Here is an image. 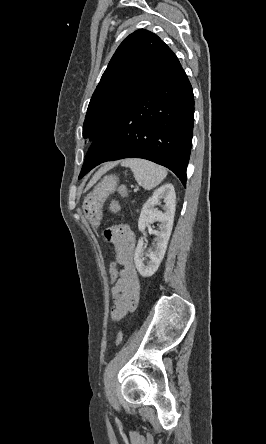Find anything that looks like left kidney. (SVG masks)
<instances>
[{
  "mask_svg": "<svg viewBox=\"0 0 266 444\" xmlns=\"http://www.w3.org/2000/svg\"><path fill=\"white\" fill-rule=\"evenodd\" d=\"M161 199H163V202L165 203L163 207L164 213L154 208ZM175 206V190L173 185L168 183L155 190L141 210L138 220L139 231L144 232L146 226L149 224L156 221L160 222L158 230L154 231L157 243L154 250L149 249L148 251L147 256L150 260L147 264L143 263V238L141 237L138 240L134 254V261L138 272L143 277L152 276L157 271L164 258L173 227Z\"/></svg>",
  "mask_w": 266,
  "mask_h": 444,
  "instance_id": "obj_1",
  "label": "left kidney"
}]
</instances>
